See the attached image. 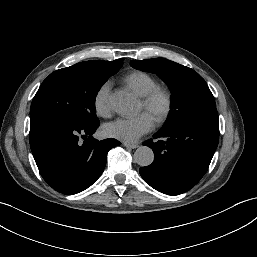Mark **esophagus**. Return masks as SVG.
Here are the masks:
<instances>
[{
	"instance_id": "1",
	"label": "esophagus",
	"mask_w": 257,
	"mask_h": 257,
	"mask_svg": "<svg viewBox=\"0 0 257 257\" xmlns=\"http://www.w3.org/2000/svg\"><path fill=\"white\" fill-rule=\"evenodd\" d=\"M123 145H124L125 147H127V148H130V149H136V148L139 147L138 144H132V143H126V142H124Z\"/></svg>"
}]
</instances>
